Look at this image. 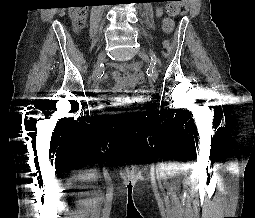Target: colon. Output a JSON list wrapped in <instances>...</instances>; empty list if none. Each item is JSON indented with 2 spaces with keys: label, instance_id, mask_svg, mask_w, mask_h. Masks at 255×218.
Segmentation results:
<instances>
[{
  "label": "colon",
  "instance_id": "5ec220e1",
  "mask_svg": "<svg viewBox=\"0 0 255 218\" xmlns=\"http://www.w3.org/2000/svg\"><path fill=\"white\" fill-rule=\"evenodd\" d=\"M184 0H171L167 8L168 18L165 20L164 28L166 31H171L173 27V17H175L183 4ZM86 11L84 8H75L71 11V19L75 29H80L85 24ZM142 94L147 93L145 89L141 90Z\"/></svg>",
  "mask_w": 255,
  "mask_h": 218
}]
</instances>
